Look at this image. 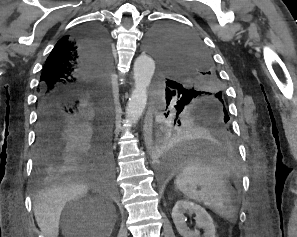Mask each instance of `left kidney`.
<instances>
[{"label": "left kidney", "instance_id": "obj_1", "mask_svg": "<svg viewBox=\"0 0 297 237\" xmlns=\"http://www.w3.org/2000/svg\"><path fill=\"white\" fill-rule=\"evenodd\" d=\"M189 212L195 214L197 228L204 230L203 237H216V229L212 217L200 205L190 201H178L172 210V219L178 233L182 237H200L199 230H190L186 224L187 218L184 213Z\"/></svg>", "mask_w": 297, "mask_h": 237}]
</instances>
